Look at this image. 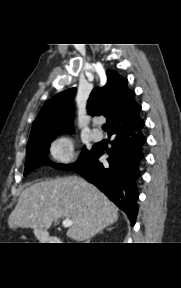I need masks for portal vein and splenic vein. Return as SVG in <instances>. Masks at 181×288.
Masks as SVG:
<instances>
[{"label": "portal vein and splenic vein", "mask_w": 181, "mask_h": 288, "mask_svg": "<svg viewBox=\"0 0 181 288\" xmlns=\"http://www.w3.org/2000/svg\"><path fill=\"white\" fill-rule=\"evenodd\" d=\"M62 225H63V227L67 228V227L72 226V225H73V222H72L70 219L65 218V219H63V221H62Z\"/></svg>", "instance_id": "1"}]
</instances>
